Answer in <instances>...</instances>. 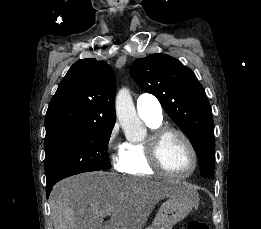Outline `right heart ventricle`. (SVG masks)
Wrapping results in <instances>:
<instances>
[{"instance_id":"1","label":"right heart ventricle","mask_w":261,"mask_h":229,"mask_svg":"<svg viewBox=\"0 0 261 229\" xmlns=\"http://www.w3.org/2000/svg\"><path fill=\"white\" fill-rule=\"evenodd\" d=\"M141 118V117H140ZM144 124L153 132L162 127L163 121H152L141 118ZM149 139L141 142H126L125 155L127 159L125 171L131 175L149 176L155 172V168L149 158Z\"/></svg>"}]
</instances>
